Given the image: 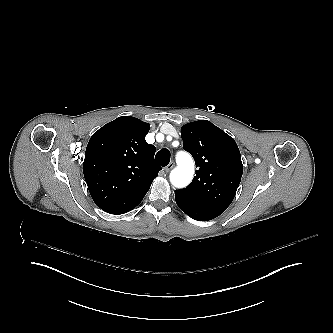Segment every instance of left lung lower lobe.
Returning a JSON list of instances; mask_svg holds the SVG:
<instances>
[{
    "label": "left lung lower lobe",
    "instance_id": "left-lung-lower-lobe-1",
    "mask_svg": "<svg viewBox=\"0 0 333 333\" xmlns=\"http://www.w3.org/2000/svg\"><path fill=\"white\" fill-rule=\"evenodd\" d=\"M177 205L180 209H182L189 217L200 220V221H207L211 220L223 212L210 210L202 207L195 206L191 203L183 201L181 199L175 198Z\"/></svg>",
    "mask_w": 333,
    "mask_h": 333
}]
</instances>
